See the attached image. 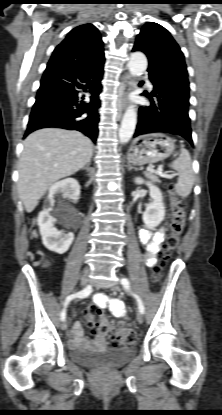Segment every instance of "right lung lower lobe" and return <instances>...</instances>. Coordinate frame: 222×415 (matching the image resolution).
Here are the masks:
<instances>
[{"label": "right lung lower lobe", "mask_w": 222, "mask_h": 415, "mask_svg": "<svg viewBox=\"0 0 222 415\" xmlns=\"http://www.w3.org/2000/svg\"><path fill=\"white\" fill-rule=\"evenodd\" d=\"M103 64L88 68L48 64L25 137L37 129L57 127L78 130L96 142ZM80 92L89 94V102L79 100Z\"/></svg>", "instance_id": "right-lung-lower-lobe-1"}]
</instances>
